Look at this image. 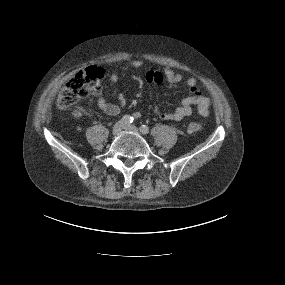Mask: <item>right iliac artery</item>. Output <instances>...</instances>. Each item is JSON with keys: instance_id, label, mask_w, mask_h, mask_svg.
Listing matches in <instances>:
<instances>
[{"instance_id": "1", "label": "right iliac artery", "mask_w": 285, "mask_h": 285, "mask_svg": "<svg viewBox=\"0 0 285 285\" xmlns=\"http://www.w3.org/2000/svg\"><path fill=\"white\" fill-rule=\"evenodd\" d=\"M133 120H134L133 117L129 115H125L122 117V122L125 124H130L133 122Z\"/></svg>"}]
</instances>
